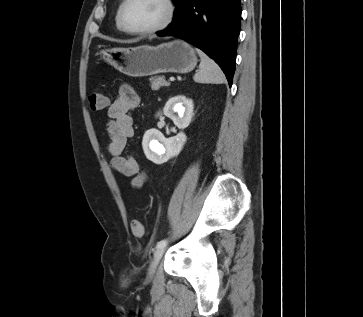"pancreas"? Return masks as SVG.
<instances>
[{
  "instance_id": "obj_1",
  "label": "pancreas",
  "mask_w": 363,
  "mask_h": 317,
  "mask_svg": "<svg viewBox=\"0 0 363 317\" xmlns=\"http://www.w3.org/2000/svg\"><path fill=\"white\" fill-rule=\"evenodd\" d=\"M150 82H151V89L155 90V91L159 90L160 87L170 85V83L165 80L164 76L152 77V78H150Z\"/></svg>"
}]
</instances>
